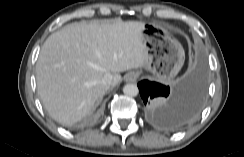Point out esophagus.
Wrapping results in <instances>:
<instances>
[{"label":"esophagus","mask_w":244,"mask_h":157,"mask_svg":"<svg viewBox=\"0 0 244 157\" xmlns=\"http://www.w3.org/2000/svg\"><path fill=\"white\" fill-rule=\"evenodd\" d=\"M139 78L138 72H129L125 75L124 80L126 82H135Z\"/></svg>","instance_id":"esophagus-1"}]
</instances>
